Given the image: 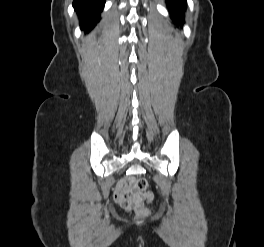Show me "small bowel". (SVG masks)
Listing matches in <instances>:
<instances>
[{
    "mask_svg": "<svg viewBox=\"0 0 264 247\" xmlns=\"http://www.w3.org/2000/svg\"><path fill=\"white\" fill-rule=\"evenodd\" d=\"M130 181L131 179L129 178H123L116 184L114 194L118 202L120 197L133 193V189L130 186Z\"/></svg>",
    "mask_w": 264,
    "mask_h": 247,
    "instance_id": "c3829d8e",
    "label": "small bowel"
}]
</instances>
